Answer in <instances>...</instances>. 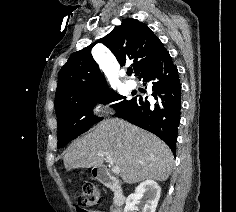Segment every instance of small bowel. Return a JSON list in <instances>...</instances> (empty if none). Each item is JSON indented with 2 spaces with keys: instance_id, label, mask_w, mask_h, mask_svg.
Masks as SVG:
<instances>
[{
  "instance_id": "obj_1",
  "label": "small bowel",
  "mask_w": 236,
  "mask_h": 212,
  "mask_svg": "<svg viewBox=\"0 0 236 212\" xmlns=\"http://www.w3.org/2000/svg\"><path fill=\"white\" fill-rule=\"evenodd\" d=\"M92 212H96V211H92ZM111 212H119V210H118L116 207H113V208L111 209Z\"/></svg>"
}]
</instances>
